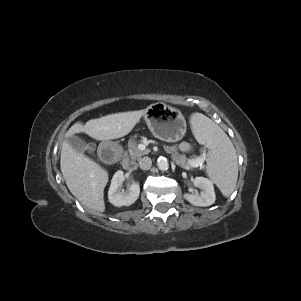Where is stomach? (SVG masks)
<instances>
[{
    "mask_svg": "<svg viewBox=\"0 0 301 301\" xmlns=\"http://www.w3.org/2000/svg\"><path fill=\"white\" fill-rule=\"evenodd\" d=\"M144 118L152 134L160 140L176 142L186 133V121L182 113L164 103L149 106Z\"/></svg>",
    "mask_w": 301,
    "mask_h": 301,
    "instance_id": "1",
    "label": "stomach"
}]
</instances>
